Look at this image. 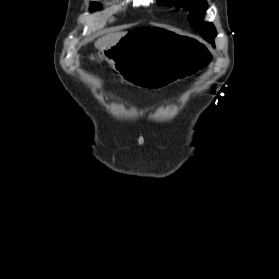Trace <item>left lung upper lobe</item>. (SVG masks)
I'll use <instances>...</instances> for the list:
<instances>
[{"label":"left lung upper lobe","mask_w":279,"mask_h":279,"mask_svg":"<svg viewBox=\"0 0 279 279\" xmlns=\"http://www.w3.org/2000/svg\"><path fill=\"white\" fill-rule=\"evenodd\" d=\"M162 5H176L190 11L191 26L209 42L216 36V29L212 23L203 22L207 10L206 0H157Z\"/></svg>","instance_id":"obj_1"}]
</instances>
